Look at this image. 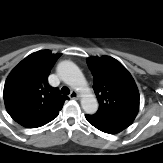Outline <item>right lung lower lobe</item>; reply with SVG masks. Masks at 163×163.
Returning <instances> with one entry per match:
<instances>
[{
  "instance_id": "right-lung-lower-lobe-1",
  "label": "right lung lower lobe",
  "mask_w": 163,
  "mask_h": 163,
  "mask_svg": "<svg viewBox=\"0 0 163 163\" xmlns=\"http://www.w3.org/2000/svg\"><path fill=\"white\" fill-rule=\"evenodd\" d=\"M57 116H58V114H56L50 118H47V119L27 120V121L20 122L19 124H21L22 126L27 127V128L41 127V126L49 123L53 119H55Z\"/></svg>"
}]
</instances>
